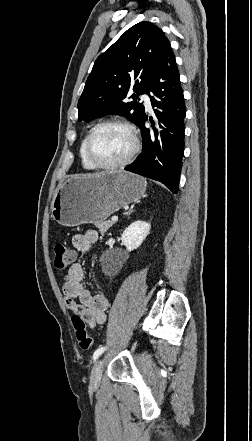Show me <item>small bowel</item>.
I'll return each mask as SVG.
<instances>
[{"label": "small bowel", "mask_w": 252, "mask_h": 441, "mask_svg": "<svg viewBox=\"0 0 252 441\" xmlns=\"http://www.w3.org/2000/svg\"><path fill=\"white\" fill-rule=\"evenodd\" d=\"M97 239V231L87 229L84 233L72 237V245L79 252L86 253ZM73 255L75 258L74 253ZM84 276L82 264L74 263L64 277L62 292L68 308L73 313H78L91 328H94L105 323L109 300L103 293L91 294L84 283Z\"/></svg>", "instance_id": "obj_1"}]
</instances>
